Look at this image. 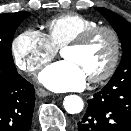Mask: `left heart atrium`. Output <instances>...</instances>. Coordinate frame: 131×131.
<instances>
[{
    "instance_id": "1",
    "label": "left heart atrium",
    "mask_w": 131,
    "mask_h": 131,
    "mask_svg": "<svg viewBox=\"0 0 131 131\" xmlns=\"http://www.w3.org/2000/svg\"><path fill=\"white\" fill-rule=\"evenodd\" d=\"M38 79L51 90L65 92L84 88L87 77L76 63L65 59L47 66Z\"/></svg>"
}]
</instances>
